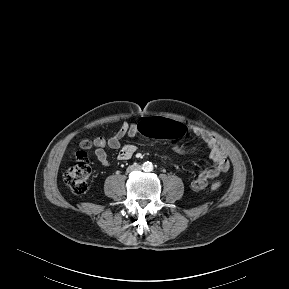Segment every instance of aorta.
Masks as SVG:
<instances>
[{"label": "aorta", "instance_id": "762f6f07", "mask_svg": "<svg viewBox=\"0 0 289 289\" xmlns=\"http://www.w3.org/2000/svg\"><path fill=\"white\" fill-rule=\"evenodd\" d=\"M142 169L145 172H151L153 170V164L151 162L147 161V162L143 163Z\"/></svg>", "mask_w": 289, "mask_h": 289}]
</instances>
